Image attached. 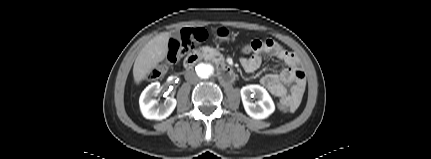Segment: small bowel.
<instances>
[{
    "instance_id": "c3829d8e",
    "label": "small bowel",
    "mask_w": 431,
    "mask_h": 159,
    "mask_svg": "<svg viewBox=\"0 0 431 159\" xmlns=\"http://www.w3.org/2000/svg\"><path fill=\"white\" fill-rule=\"evenodd\" d=\"M250 44L253 47L250 56L240 60L244 70L246 72L257 70L265 54L282 61L284 63L282 71L279 74L264 75L261 83L271 94L280 98L282 104L287 106V111H296L305 91V73L299 67L297 57L271 39H255Z\"/></svg>"
}]
</instances>
